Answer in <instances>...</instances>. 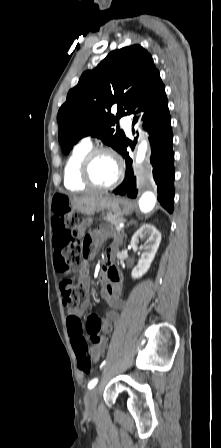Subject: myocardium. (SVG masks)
<instances>
[{
  "label": "myocardium",
  "instance_id": "myocardium-1",
  "mask_svg": "<svg viewBox=\"0 0 221 448\" xmlns=\"http://www.w3.org/2000/svg\"><path fill=\"white\" fill-rule=\"evenodd\" d=\"M99 155H110L114 158L116 164H117V175L115 179L107 185H101L94 181L92 175H91V168L92 164L96 157ZM124 175V166L123 162L118 155L116 151H114L111 148L107 147H98V148H92L88 152L85 153V155L82 157L80 164H79V177L80 180L86 184L87 186L97 188V189H103V190H109L112 188H115L120 181L122 180Z\"/></svg>",
  "mask_w": 221,
  "mask_h": 448
}]
</instances>
